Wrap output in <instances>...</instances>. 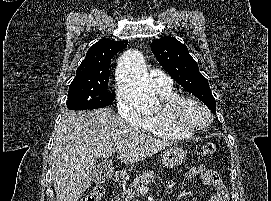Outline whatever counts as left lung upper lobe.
I'll use <instances>...</instances> for the list:
<instances>
[{
	"instance_id": "1",
	"label": "left lung upper lobe",
	"mask_w": 271,
	"mask_h": 201,
	"mask_svg": "<svg viewBox=\"0 0 271 201\" xmlns=\"http://www.w3.org/2000/svg\"><path fill=\"white\" fill-rule=\"evenodd\" d=\"M151 50L160 65L179 85L200 99L213 114H216V103L208 80L201 75L198 64L184 44L174 37L166 36L153 41Z\"/></svg>"
}]
</instances>
